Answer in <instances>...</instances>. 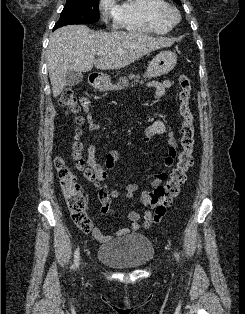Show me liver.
<instances>
[{"label":"liver","mask_w":245,"mask_h":314,"mask_svg":"<svg viewBox=\"0 0 245 314\" xmlns=\"http://www.w3.org/2000/svg\"><path fill=\"white\" fill-rule=\"evenodd\" d=\"M174 43L165 37H151L139 32H94L85 25H68L57 29L46 50V63L53 97L66 87L68 71L120 69L144 55ZM103 51L99 59L94 56Z\"/></svg>","instance_id":"obj_1"}]
</instances>
